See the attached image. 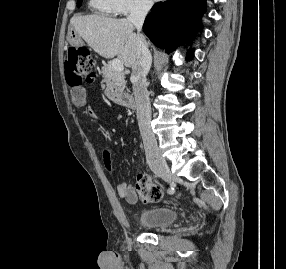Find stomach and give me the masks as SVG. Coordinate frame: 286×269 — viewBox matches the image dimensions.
Listing matches in <instances>:
<instances>
[{"label":"stomach","mask_w":286,"mask_h":269,"mask_svg":"<svg viewBox=\"0 0 286 269\" xmlns=\"http://www.w3.org/2000/svg\"><path fill=\"white\" fill-rule=\"evenodd\" d=\"M67 40L71 45L78 46V45L82 44V38L75 31H69V33L67 35Z\"/></svg>","instance_id":"stomach-1"}]
</instances>
